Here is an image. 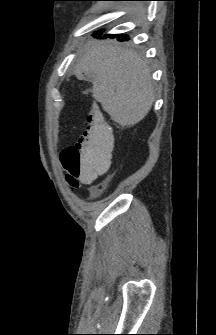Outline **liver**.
<instances>
[{
    "mask_svg": "<svg viewBox=\"0 0 216 335\" xmlns=\"http://www.w3.org/2000/svg\"><path fill=\"white\" fill-rule=\"evenodd\" d=\"M77 78L90 76L93 97L111 119L134 126L150 111L155 93L150 68L136 51L119 44L93 41L74 68Z\"/></svg>",
    "mask_w": 216,
    "mask_h": 335,
    "instance_id": "obj_1",
    "label": "liver"
}]
</instances>
